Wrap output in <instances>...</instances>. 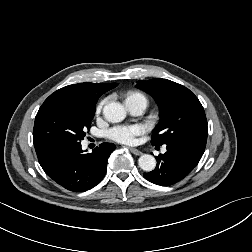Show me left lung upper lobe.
<instances>
[{
  "label": "left lung upper lobe",
  "instance_id": "left-lung-upper-lobe-1",
  "mask_svg": "<svg viewBox=\"0 0 252 252\" xmlns=\"http://www.w3.org/2000/svg\"><path fill=\"white\" fill-rule=\"evenodd\" d=\"M137 87L151 94L160 109V121L153 130L152 145L195 139L207 142L206 115L198 98L186 87L156 78L138 81Z\"/></svg>",
  "mask_w": 252,
  "mask_h": 252
}]
</instances>
